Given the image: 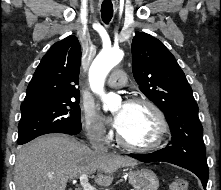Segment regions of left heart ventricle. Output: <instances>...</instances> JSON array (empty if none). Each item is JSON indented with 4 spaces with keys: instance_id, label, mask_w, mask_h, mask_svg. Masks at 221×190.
I'll return each instance as SVG.
<instances>
[{
    "instance_id": "1",
    "label": "left heart ventricle",
    "mask_w": 221,
    "mask_h": 190,
    "mask_svg": "<svg viewBox=\"0 0 221 190\" xmlns=\"http://www.w3.org/2000/svg\"><path fill=\"white\" fill-rule=\"evenodd\" d=\"M125 109V121L119 132L123 138L137 145L152 142L157 130V123L153 112L145 105L125 104L119 106Z\"/></svg>"
}]
</instances>
